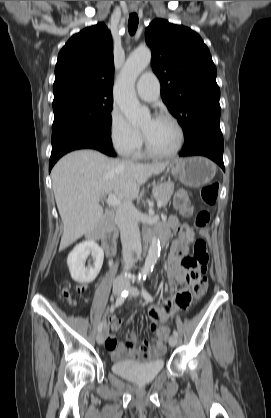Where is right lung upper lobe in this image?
Returning a JSON list of instances; mask_svg holds the SVG:
<instances>
[{"label":"right lung upper lobe","mask_w":271,"mask_h":418,"mask_svg":"<svg viewBox=\"0 0 271 418\" xmlns=\"http://www.w3.org/2000/svg\"><path fill=\"white\" fill-rule=\"evenodd\" d=\"M112 52L110 32L104 23L73 35L58 55L54 101L72 96H112Z\"/></svg>","instance_id":"1"}]
</instances>
